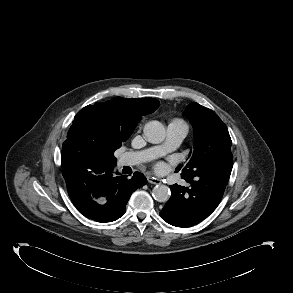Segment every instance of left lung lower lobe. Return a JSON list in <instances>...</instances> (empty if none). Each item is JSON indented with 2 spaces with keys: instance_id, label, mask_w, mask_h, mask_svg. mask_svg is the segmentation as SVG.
Listing matches in <instances>:
<instances>
[{
  "instance_id": "0a47b994",
  "label": "left lung lower lobe",
  "mask_w": 293,
  "mask_h": 293,
  "mask_svg": "<svg viewBox=\"0 0 293 293\" xmlns=\"http://www.w3.org/2000/svg\"><path fill=\"white\" fill-rule=\"evenodd\" d=\"M181 177L189 186H170L171 197L160 216L173 226L190 227L204 220L216 209L229 178L211 172L181 174Z\"/></svg>"
}]
</instances>
